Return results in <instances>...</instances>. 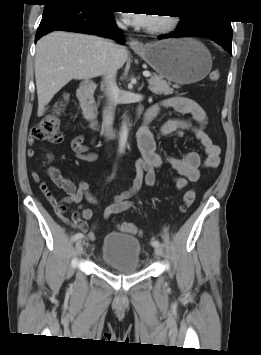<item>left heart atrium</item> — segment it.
<instances>
[{
    "label": "left heart atrium",
    "instance_id": "obj_1",
    "mask_svg": "<svg viewBox=\"0 0 261 355\" xmlns=\"http://www.w3.org/2000/svg\"><path fill=\"white\" fill-rule=\"evenodd\" d=\"M128 24L138 27H149L154 21V17L150 13H123Z\"/></svg>",
    "mask_w": 261,
    "mask_h": 355
}]
</instances>
